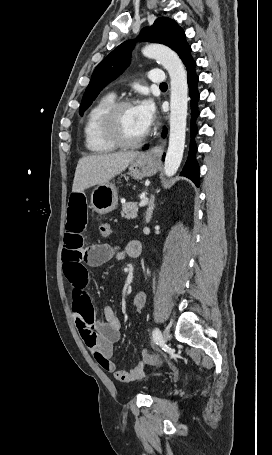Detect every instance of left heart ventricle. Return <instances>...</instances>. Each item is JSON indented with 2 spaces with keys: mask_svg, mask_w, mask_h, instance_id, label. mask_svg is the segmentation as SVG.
Wrapping results in <instances>:
<instances>
[{
  "mask_svg": "<svg viewBox=\"0 0 272 455\" xmlns=\"http://www.w3.org/2000/svg\"><path fill=\"white\" fill-rule=\"evenodd\" d=\"M119 129L122 137L126 140H136L146 133L134 106L127 107L120 113Z\"/></svg>",
  "mask_w": 272,
  "mask_h": 455,
  "instance_id": "b2bd125f",
  "label": "left heart ventricle"
}]
</instances>
